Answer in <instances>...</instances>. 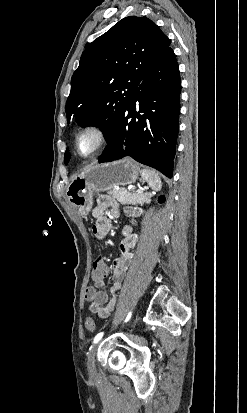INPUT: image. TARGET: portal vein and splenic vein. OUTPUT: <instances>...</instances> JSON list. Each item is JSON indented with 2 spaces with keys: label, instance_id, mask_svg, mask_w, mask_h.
Listing matches in <instances>:
<instances>
[{
  "label": "portal vein and splenic vein",
  "instance_id": "obj_1",
  "mask_svg": "<svg viewBox=\"0 0 247 413\" xmlns=\"http://www.w3.org/2000/svg\"><path fill=\"white\" fill-rule=\"evenodd\" d=\"M143 188H138L137 192H142Z\"/></svg>",
  "mask_w": 247,
  "mask_h": 413
}]
</instances>
